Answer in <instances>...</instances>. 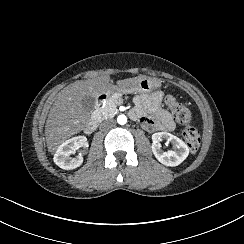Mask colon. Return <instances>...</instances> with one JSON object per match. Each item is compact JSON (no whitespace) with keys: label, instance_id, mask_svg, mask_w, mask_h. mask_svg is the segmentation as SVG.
Masks as SVG:
<instances>
[{"label":"colon","instance_id":"colon-1","mask_svg":"<svg viewBox=\"0 0 244 244\" xmlns=\"http://www.w3.org/2000/svg\"><path fill=\"white\" fill-rule=\"evenodd\" d=\"M167 105L169 107H171L172 110L176 111V120L181 122V125L187 129L186 131L183 132L182 136L184 139L188 140V142L190 143L192 150L194 152H199L201 149V146L197 140V135L198 134V129L193 127H191V115L188 111L184 110V107L182 104H178L174 101L173 98H168L166 101ZM190 128V129H189Z\"/></svg>","mask_w":244,"mask_h":244}]
</instances>
